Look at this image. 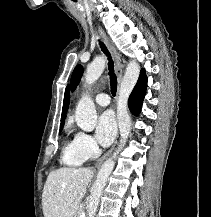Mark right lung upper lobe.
<instances>
[{
    "mask_svg": "<svg viewBox=\"0 0 211 217\" xmlns=\"http://www.w3.org/2000/svg\"><path fill=\"white\" fill-rule=\"evenodd\" d=\"M68 106H69V89L67 87L65 90V95H64V103H63L62 117H61V127H63L64 120L66 117V112L68 110Z\"/></svg>",
    "mask_w": 211,
    "mask_h": 217,
    "instance_id": "right-lung-upper-lobe-1",
    "label": "right lung upper lobe"
}]
</instances>
